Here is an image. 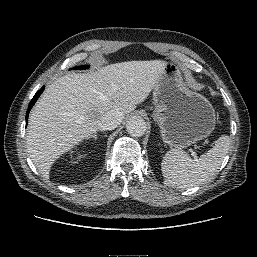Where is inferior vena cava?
<instances>
[{
  "label": "inferior vena cava",
  "mask_w": 257,
  "mask_h": 257,
  "mask_svg": "<svg viewBox=\"0 0 257 257\" xmlns=\"http://www.w3.org/2000/svg\"><path fill=\"white\" fill-rule=\"evenodd\" d=\"M123 119V114L118 110H112L103 115L97 123L98 129L113 130L115 129Z\"/></svg>",
  "instance_id": "obj_1"
}]
</instances>
